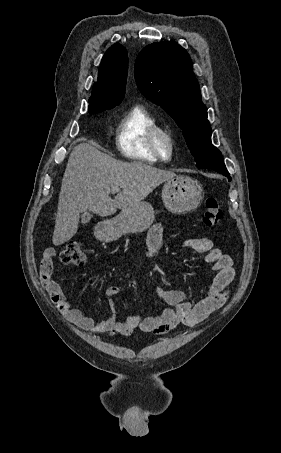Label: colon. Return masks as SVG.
Instances as JSON below:
<instances>
[{
	"mask_svg": "<svg viewBox=\"0 0 281 453\" xmlns=\"http://www.w3.org/2000/svg\"><path fill=\"white\" fill-rule=\"evenodd\" d=\"M225 220L226 216L219 201L214 197L206 198L202 217L203 225L206 227H216L224 224ZM60 259L62 262H86L88 260V254L81 247L78 239L70 238L65 242Z\"/></svg>",
	"mask_w": 281,
	"mask_h": 453,
	"instance_id": "5ec220e1",
	"label": "colon"
}]
</instances>
